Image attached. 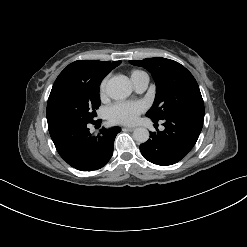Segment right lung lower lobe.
<instances>
[{
    "label": "right lung lower lobe",
    "instance_id": "right-lung-lower-lobe-1",
    "mask_svg": "<svg viewBox=\"0 0 247 247\" xmlns=\"http://www.w3.org/2000/svg\"><path fill=\"white\" fill-rule=\"evenodd\" d=\"M120 131V127L103 128L97 136H93L88 124H73L60 128L50 136L59 155L70 166L81 171H93L110 160L115 137Z\"/></svg>",
    "mask_w": 247,
    "mask_h": 247
}]
</instances>
